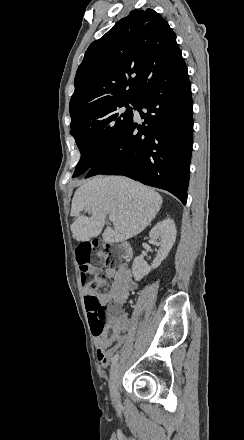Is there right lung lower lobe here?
Returning a JSON list of instances; mask_svg holds the SVG:
<instances>
[{
    "label": "right lung lower lobe",
    "instance_id": "1",
    "mask_svg": "<svg viewBox=\"0 0 244 440\" xmlns=\"http://www.w3.org/2000/svg\"><path fill=\"white\" fill-rule=\"evenodd\" d=\"M192 108L186 64L159 71L137 99L142 125L132 119L88 170L86 178L97 174L127 176L167 190L186 204L193 144Z\"/></svg>",
    "mask_w": 244,
    "mask_h": 440
}]
</instances>
